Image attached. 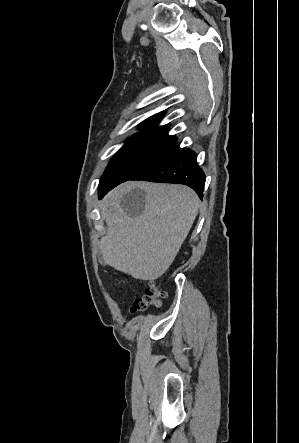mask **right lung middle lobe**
<instances>
[{
	"label": "right lung middle lobe",
	"instance_id": "right-lung-middle-lobe-1",
	"mask_svg": "<svg viewBox=\"0 0 299 443\" xmlns=\"http://www.w3.org/2000/svg\"><path fill=\"white\" fill-rule=\"evenodd\" d=\"M155 125L145 123L141 131L134 134L117 152L105 169L99 190L131 180L175 146L176 139L168 135L169 129H150Z\"/></svg>",
	"mask_w": 299,
	"mask_h": 443
}]
</instances>
